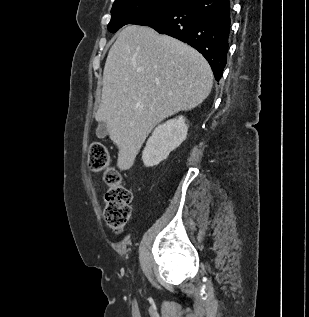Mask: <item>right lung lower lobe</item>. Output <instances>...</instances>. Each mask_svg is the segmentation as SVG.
I'll list each match as a JSON object with an SVG mask.
<instances>
[{"label":"right lung lower lobe","instance_id":"obj_1","mask_svg":"<svg viewBox=\"0 0 309 317\" xmlns=\"http://www.w3.org/2000/svg\"><path fill=\"white\" fill-rule=\"evenodd\" d=\"M130 24L152 27L197 49L220 80L226 65L230 35L229 0H184L146 13Z\"/></svg>","mask_w":309,"mask_h":317}]
</instances>
